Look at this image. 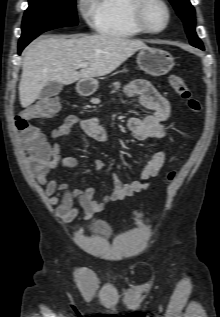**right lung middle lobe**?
I'll return each mask as SVG.
<instances>
[{"mask_svg": "<svg viewBox=\"0 0 220 317\" xmlns=\"http://www.w3.org/2000/svg\"><path fill=\"white\" fill-rule=\"evenodd\" d=\"M75 0H29L19 42L45 31L77 25Z\"/></svg>", "mask_w": 220, "mask_h": 317, "instance_id": "right-lung-middle-lobe-1", "label": "right lung middle lobe"}]
</instances>
